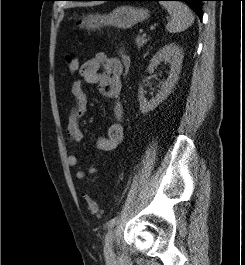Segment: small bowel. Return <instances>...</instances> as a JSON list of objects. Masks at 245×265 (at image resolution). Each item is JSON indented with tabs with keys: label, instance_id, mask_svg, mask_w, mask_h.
Masks as SVG:
<instances>
[{
	"label": "small bowel",
	"instance_id": "obj_1",
	"mask_svg": "<svg viewBox=\"0 0 245 265\" xmlns=\"http://www.w3.org/2000/svg\"><path fill=\"white\" fill-rule=\"evenodd\" d=\"M103 71L100 72V69ZM123 67L117 57H109L104 52L96 53L92 58L82 64L79 70L81 79L73 82L71 93L75 98V105L69 112L67 120L68 141L80 142L83 133L80 128V120L85 115L88 105V95L84 89V83L97 84L101 93L114 103V122L109 126L106 136L96 139V148L101 151H113L122 142L123 130V107L120 102L122 89L121 76ZM67 163L75 169V177L83 179L85 172L78 168L76 155L69 154Z\"/></svg>",
	"mask_w": 245,
	"mask_h": 265
}]
</instances>
